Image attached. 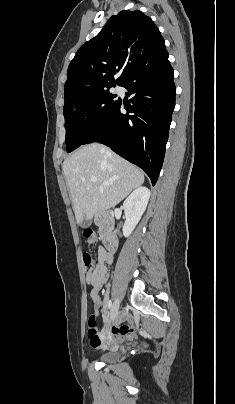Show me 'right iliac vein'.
Returning <instances> with one entry per match:
<instances>
[{"label": "right iliac vein", "mask_w": 235, "mask_h": 404, "mask_svg": "<svg viewBox=\"0 0 235 404\" xmlns=\"http://www.w3.org/2000/svg\"><path fill=\"white\" fill-rule=\"evenodd\" d=\"M118 311H119V301L116 300V301L113 303V306H112V317H113L114 319H116V317H117V315H118Z\"/></svg>", "instance_id": "1"}]
</instances>
